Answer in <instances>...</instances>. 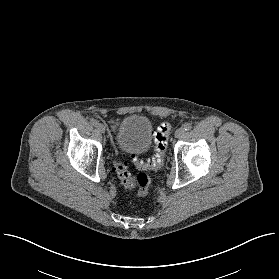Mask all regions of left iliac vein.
<instances>
[{
  "label": "left iliac vein",
  "mask_w": 279,
  "mask_h": 279,
  "mask_svg": "<svg viewBox=\"0 0 279 279\" xmlns=\"http://www.w3.org/2000/svg\"><path fill=\"white\" fill-rule=\"evenodd\" d=\"M184 134H185L184 129H183V128H180V129H178V130L176 131L175 136H176L177 138H182V137L184 136Z\"/></svg>",
  "instance_id": "left-iliac-vein-1"
}]
</instances>
